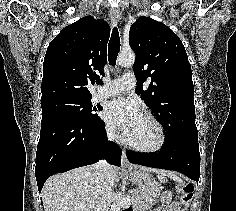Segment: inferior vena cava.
I'll list each match as a JSON object with an SVG mask.
<instances>
[{
    "instance_id": "obj_1",
    "label": "inferior vena cava",
    "mask_w": 236,
    "mask_h": 211,
    "mask_svg": "<svg viewBox=\"0 0 236 211\" xmlns=\"http://www.w3.org/2000/svg\"><path fill=\"white\" fill-rule=\"evenodd\" d=\"M107 136L109 140L114 139V132L108 131ZM109 165L105 160L99 161L94 166L96 181L98 183L99 192L101 196L95 201V211H108L111 197V185L108 181Z\"/></svg>"
}]
</instances>
